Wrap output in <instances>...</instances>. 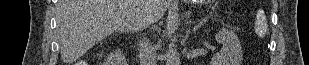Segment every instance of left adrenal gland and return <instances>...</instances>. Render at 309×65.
I'll return each instance as SVG.
<instances>
[{
  "label": "left adrenal gland",
  "mask_w": 309,
  "mask_h": 65,
  "mask_svg": "<svg viewBox=\"0 0 309 65\" xmlns=\"http://www.w3.org/2000/svg\"><path fill=\"white\" fill-rule=\"evenodd\" d=\"M203 21H204V19L202 21H200L197 25H195L192 31H194V32L197 31L201 27V25L203 24ZM188 33H191V31L189 30Z\"/></svg>",
  "instance_id": "1"
}]
</instances>
